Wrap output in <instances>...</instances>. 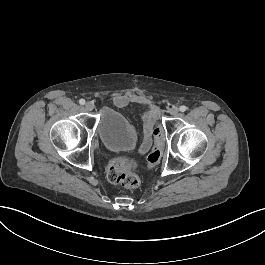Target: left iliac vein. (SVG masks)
<instances>
[{"instance_id": "obj_1", "label": "left iliac vein", "mask_w": 265, "mask_h": 265, "mask_svg": "<svg viewBox=\"0 0 265 265\" xmlns=\"http://www.w3.org/2000/svg\"><path fill=\"white\" fill-rule=\"evenodd\" d=\"M178 112H179V109L175 106H173L170 110H169V113L173 116H177L178 115Z\"/></svg>"}]
</instances>
